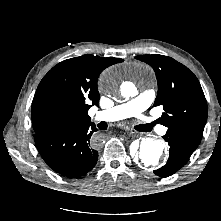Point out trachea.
<instances>
[{
  "label": "trachea",
  "instance_id": "obj_1",
  "mask_svg": "<svg viewBox=\"0 0 221 221\" xmlns=\"http://www.w3.org/2000/svg\"><path fill=\"white\" fill-rule=\"evenodd\" d=\"M137 130L143 131V132H149L151 130L150 127H148L146 124L138 125Z\"/></svg>",
  "mask_w": 221,
  "mask_h": 221
}]
</instances>
